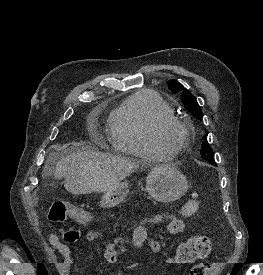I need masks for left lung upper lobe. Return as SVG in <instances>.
<instances>
[{
    "label": "left lung upper lobe",
    "mask_w": 263,
    "mask_h": 275,
    "mask_svg": "<svg viewBox=\"0 0 263 275\" xmlns=\"http://www.w3.org/2000/svg\"><path fill=\"white\" fill-rule=\"evenodd\" d=\"M167 85L172 92L181 93V100H182V103L185 105L186 110L189 111L197 119L202 120L203 114H202L201 108L198 105L196 98L193 96V94L189 90L184 89L183 85L175 80H170L167 83ZM205 139H206V136L203 137V140ZM200 153L203 159L207 160L212 165H216L215 160L213 158L212 150L207 141H204L202 143Z\"/></svg>",
    "instance_id": "1"
}]
</instances>
